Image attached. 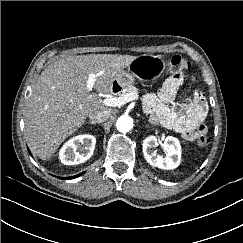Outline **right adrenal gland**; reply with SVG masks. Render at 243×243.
<instances>
[{"label":"right adrenal gland","mask_w":243,"mask_h":243,"mask_svg":"<svg viewBox=\"0 0 243 243\" xmlns=\"http://www.w3.org/2000/svg\"><path fill=\"white\" fill-rule=\"evenodd\" d=\"M89 124L95 125V123H94V122H89Z\"/></svg>","instance_id":"1"}]
</instances>
